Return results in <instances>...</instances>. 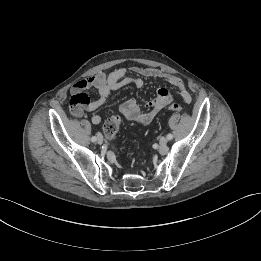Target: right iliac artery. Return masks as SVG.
<instances>
[{
    "label": "right iliac artery",
    "instance_id": "right-iliac-artery-1",
    "mask_svg": "<svg viewBox=\"0 0 261 261\" xmlns=\"http://www.w3.org/2000/svg\"><path fill=\"white\" fill-rule=\"evenodd\" d=\"M91 140H92V142H95V141L97 140L96 136H93V137L91 138Z\"/></svg>",
    "mask_w": 261,
    "mask_h": 261
}]
</instances>
